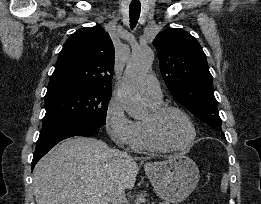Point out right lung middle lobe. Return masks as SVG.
Listing matches in <instances>:
<instances>
[{
	"instance_id": "1",
	"label": "right lung middle lobe",
	"mask_w": 261,
	"mask_h": 204,
	"mask_svg": "<svg viewBox=\"0 0 261 204\" xmlns=\"http://www.w3.org/2000/svg\"><path fill=\"white\" fill-rule=\"evenodd\" d=\"M111 91L95 89L64 90L46 94L43 127L55 124L88 121L103 126Z\"/></svg>"
}]
</instances>
